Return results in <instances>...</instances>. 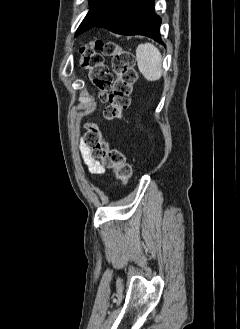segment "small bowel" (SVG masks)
<instances>
[{
    "instance_id": "1",
    "label": "small bowel",
    "mask_w": 240,
    "mask_h": 329,
    "mask_svg": "<svg viewBox=\"0 0 240 329\" xmlns=\"http://www.w3.org/2000/svg\"><path fill=\"white\" fill-rule=\"evenodd\" d=\"M80 149L83 161L91 174H101L105 171L104 166L91 156L89 148L83 142L80 144Z\"/></svg>"
}]
</instances>
